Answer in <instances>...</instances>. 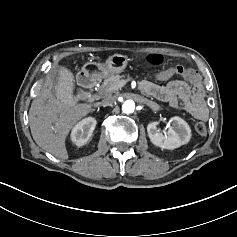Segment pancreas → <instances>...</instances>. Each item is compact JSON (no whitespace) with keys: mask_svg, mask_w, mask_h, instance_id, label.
Segmentation results:
<instances>
[{"mask_svg":"<svg viewBox=\"0 0 237 237\" xmlns=\"http://www.w3.org/2000/svg\"><path fill=\"white\" fill-rule=\"evenodd\" d=\"M121 77L122 76L120 75H109L99 87V91L105 95H111L112 93L116 92L120 87H122L120 86L122 81Z\"/></svg>","mask_w":237,"mask_h":237,"instance_id":"1","label":"pancreas"}]
</instances>
